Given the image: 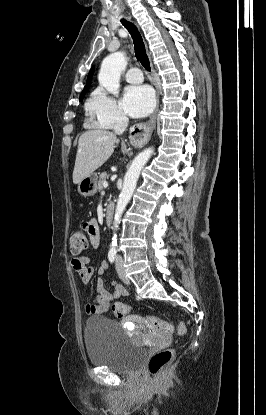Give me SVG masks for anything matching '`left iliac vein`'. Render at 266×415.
<instances>
[{"label": "left iliac vein", "mask_w": 266, "mask_h": 415, "mask_svg": "<svg viewBox=\"0 0 266 415\" xmlns=\"http://www.w3.org/2000/svg\"><path fill=\"white\" fill-rule=\"evenodd\" d=\"M116 270H117V273H118L120 279L125 284H130V279L126 276V274L124 272L123 260L121 259V257H117V260H116Z\"/></svg>", "instance_id": "1"}]
</instances>
